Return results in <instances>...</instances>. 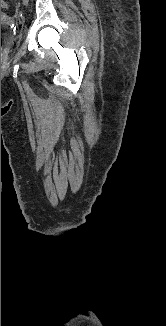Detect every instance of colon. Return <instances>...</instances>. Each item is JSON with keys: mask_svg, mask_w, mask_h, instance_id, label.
Segmentation results:
<instances>
[{"mask_svg": "<svg viewBox=\"0 0 166 326\" xmlns=\"http://www.w3.org/2000/svg\"><path fill=\"white\" fill-rule=\"evenodd\" d=\"M6 7H7V3L4 0H1V8H6ZM2 44H3V40L1 37V47H2Z\"/></svg>", "mask_w": 166, "mask_h": 326, "instance_id": "colon-1", "label": "colon"}]
</instances>
